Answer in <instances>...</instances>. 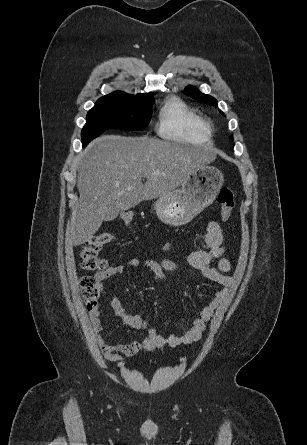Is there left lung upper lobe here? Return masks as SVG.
Masks as SVG:
<instances>
[{
	"mask_svg": "<svg viewBox=\"0 0 307 445\" xmlns=\"http://www.w3.org/2000/svg\"><path fill=\"white\" fill-rule=\"evenodd\" d=\"M185 93L188 96H190L191 98H194L196 100L203 101V102H206V103H210V104H213V105H217V100L215 98H213L212 96H209V95L201 93L199 90H197L196 88H194L192 86L187 87L185 89Z\"/></svg>",
	"mask_w": 307,
	"mask_h": 445,
	"instance_id": "1",
	"label": "left lung upper lobe"
}]
</instances>
